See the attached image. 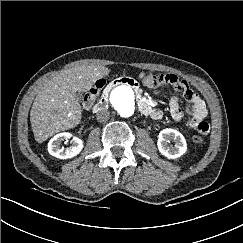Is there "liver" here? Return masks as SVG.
<instances>
[{"mask_svg": "<svg viewBox=\"0 0 243 243\" xmlns=\"http://www.w3.org/2000/svg\"><path fill=\"white\" fill-rule=\"evenodd\" d=\"M110 70L101 65H78L44 82L35 97L30 122L38 143L54 134L74 128L82 117L77 92H87Z\"/></svg>", "mask_w": 243, "mask_h": 243, "instance_id": "liver-1", "label": "liver"}]
</instances>
